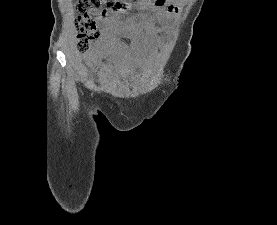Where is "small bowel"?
Listing matches in <instances>:
<instances>
[{
  "mask_svg": "<svg viewBox=\"0 0 277 225\" xmlns=\"http://www.w3.org/2000/svg\"><path fill=\"white\" fill-rule=\"evenodd\" d=\"M177 10L176 4L164 0L156 6L155 13L146 11L138 18L126 19L119 11L100 17L101 42L99 52L86 59L89 72L104 78L111 68L106 57L123 68L139 62L162 44ZM119 36H129L130 43H123Z\"/></svg>",
  "mask_w": 277,
  "mask_h": 225,
  "instance_id": "c3829d8e",
  "label": "small bowel"
}]
</instances>
